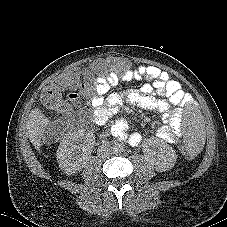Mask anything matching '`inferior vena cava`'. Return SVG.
<instances>
[{
  "instance_id": "1",
  "label": "inferior vena cava",
  "mask_w": 227,
  "mask_h": 227,
  "mask_svg": "<svg viewBox=\"0 0 227 227\" xmlns=\"http://www.w3.org/2000/svg\"><path fill=\"white\" fill-rule=\"evenodd\" d=\"M113 149L109 144H103L98 148V156L108 158L112 155Z\"/></svg>"
}]
</instances>
